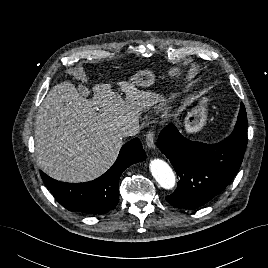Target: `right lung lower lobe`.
I'll list each match as a JSON object with an SVG mask.
<instances>
[{"label": "right lung lower lobe", "instance_id": "obj_1", "mask_svg": "<svg viewBox=\"0 0 268 268\" xmlns=\"http://www.w3.org/2000/svg\"><path fill=\"white\" fill-rule=\"evenodd\" d=\"M138 138L126 143L112 167L99 178L85 183H64L41 171V177L54 198L67 210L85 214H104L119 202V178L132 164L145 160Z\"/></svg>", "mask_w": 268, "mask_h": 268}]
</instances>
